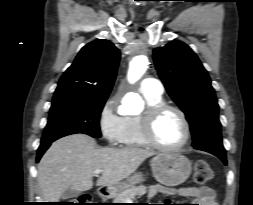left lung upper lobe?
I'll return each mask as SVG.
<instances>
[{"label": "left lung upper lobe", "mask_w": 253, "mask_h": 205, "mask_svg": "<svg viewBox=\"0 0 253 205\" xmlns=\"http://www.w3.org/2000/svg\"><path fill=\"white\" fill-rule=\"evenodd\" d=\"M158 75L171 98L185 113L195 149L226 155L219 106L211 80L197 55L181 41L153 50Z\"/></svg>", "instance_id": "1"}]
</instances>
